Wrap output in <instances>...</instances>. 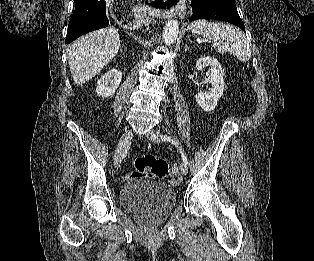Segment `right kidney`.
Returning a JSON list of instances; mask_svg holds the SVG:
<instances>
[{"instance_id":"right-kidney-1","label":"right kidney","mask_w":314,"mask_h":261,"mask_svg":"<svg viewBox=\"0 0 314 261\" xmlns=\"http://www.w3.org/2000/svg\"><path fill=\"white\" fill-rule=\"evenodd\" d=\"M122 80V73L117 69H111L101 76L98 81L96 93L102 97H110L114 95Z\"/></svg>"}]
</instances>
